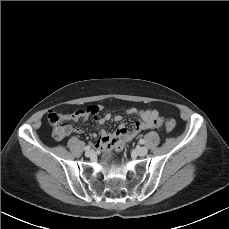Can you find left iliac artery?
<instances>
[{
  "label": "left iliac artery",
  "instance_id": "1",
  "mask_svg": "<svg viewBox=\"0 0 229 229\" xmlns=\"http://www.w3.org/2000/svg\"><path fill=\"white\" fill-rule=\"evenodd\" d=\"M139 143H140V144H144L145 141H144L143 139H140V140H139Z\"/></svg>",
  "mask_w": 229,
  "mask_h": 229
}]
</instances>
